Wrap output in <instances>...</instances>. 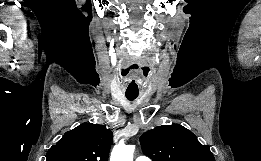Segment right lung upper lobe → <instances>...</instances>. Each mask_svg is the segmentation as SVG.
Segmentation results:
<instances>
[{"label":"right lung upper lobe","instance_id":"cb5924a9","mask_svg":"<svg viewBox=\"0 0 261 161\" xmlns=\"http://www.w3.org/2000/svg\"><path fill=\"white\" fill-rule=\"evenodd\" d=\"M113 144L111 130L103 125L83 123L64 134L46 155V161H108Z\"/></svg>","mask_w":261,"mask_h":161}]
</instances>
